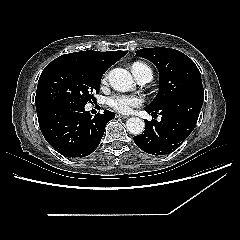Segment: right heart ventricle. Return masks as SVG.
<instances>
[{
  "label": "right heart ventricle",
  "mask_w": 240,
  "mask_h": 240,
  "mask_svg": "<svg viewBox=\"0 0 240 240\" xmlns=\"http://www.w3.org/2000/svg\"><path fill=\"white\" fill-rule=\"evenodd\" d=\"M132 72L136 76V78L142 73V72H148L152 75L150 68L144 64L143 62H135L132 65Z\"/></svg>",
  "instance_id": "e07e8e85"
}]
</instances>
